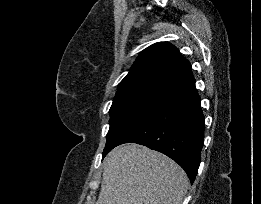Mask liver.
<instances>
[{
  "label": "liver",
  "mask_w": 261,
  "mask_h": 204,
  "mask_svg": "<svg viewBox=\"0 0 261 204\" xmlns=\"http://www.w3.org/2000/svg\"><path fill=\"white\" fill-rule=\"evenodd\" d=\"M188 184L185 171L166 155L125 144L104 159L96 204H181Z\"/></svg>",
  "instance_id": "liver-1"
}]
</instances>
